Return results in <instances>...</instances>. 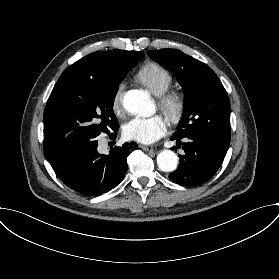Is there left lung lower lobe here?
I'll return each instance as SVG.
<instances>
[{
  "instance_id": "obj_1",
  "label": "left lung lower lobe",
  "mask_w": 279,
  "mask_h": 279,
  "mask_svg": "<svg viewBox=\"0 0 279 279\" xmlns=\"http://www.w3.org/2000/svg\"><path fill=\"white\" fill-rule=\"evenodd\" d=\"M183 143L185 154L180 155V164L176 171L169 174L172 182L192 187L208 181L221 166L229 147L230 137L213 133L197 132L185 137L174 135L177 147ZM175 149V147H173Z\"/></svg>"
}]
</instances>
